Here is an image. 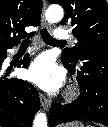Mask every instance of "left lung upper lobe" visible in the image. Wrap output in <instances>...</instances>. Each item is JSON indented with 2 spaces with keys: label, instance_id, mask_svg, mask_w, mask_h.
Wrapping results in <instances>:
<instances>
[{
  "label": "left lung upper lobe",
  "instance_id": "left-lung-upper-lobe-1",
  "mask_svg": "<svg viewBox=\"0 0 108 127\" xmlns=\"http://www.w3.org/2000/svg\"><path fill=\"white\" fill-rule=\"evenodd\" d=\"M65 10L62 25L73 26L76 45L62 53L61 60L75 65L85 56L108 52V4L105 0H48Z\"/></svg>",
  "mask_w": 108,
  "mask_h": 127
}]
</instances>
